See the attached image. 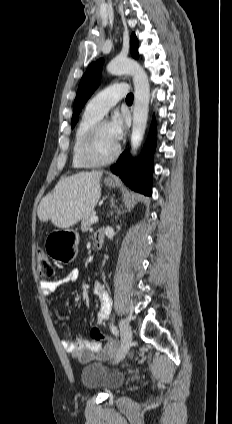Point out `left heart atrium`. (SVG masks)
I'll list each match as a JSON object with an SVG mask.
<instances>
[{
    "mask_svg": "<svg viewBox=\"0 0 232 424\" xmlns=\"http://www.w3.org/2000/svg\"><path fill=\"white\" fill-rule=\"evenodd\" d=\"M109 129L113 139L118 142L123 139L126 131V121L121 115H116L109 123Z\"/></svg>",
    "mask_w": 232,
    "mask_h": 424,
    "instance_id": "39dd6f15",
    "label": "left heart atrium"
}]
</instances>
